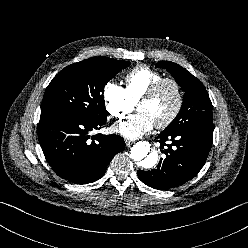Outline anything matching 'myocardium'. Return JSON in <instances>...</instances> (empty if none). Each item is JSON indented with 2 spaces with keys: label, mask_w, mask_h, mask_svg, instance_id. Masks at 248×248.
<instances>
[{
  "label": "myocardium",
  "mask_w": 248,
  "mask_h": 248,
  "mask_svg": "<svg viewBox=\"0 0 248 248\" xmlns=\"http://www.w3.org/2000/svg\"><path fill=\"white\" fill-rule=\"evenodd\" d=\"M166 83H170L174 86L176 95H177V102H176V106L174 110L172 111V113L165 120L155 124V127L158 129L165 128L169 126L171 123H173L183 108L184 93H183L180 83L174 78L162 77L156 82H154L147 89V91L141 96V98L138 100V103H137V105H139L142 102L152 99L157 94V92L160 90V88Z\"/></svg>",
  "instance_id": "1"
}]
</instances>
